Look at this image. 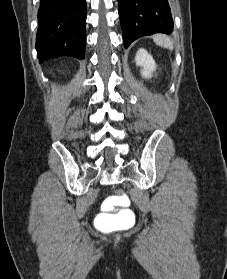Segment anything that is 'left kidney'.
<instances>
[{"mask_svg":"<svg viewBox=\"0 0 227 279\" xmlns=\"http://www.w3.org/2000/svg\"><path fill=\"white\" fill-rule=\"evenodd\" d=\"M135 62L137 66L142 67L141 75L144 78H151L153 72L156 70V63L153 57L148 54V52L140 48L135 57Z\"/></svg>","mask_w":227,"mask_h":279,"instance_id":"obj_1","label":"left kidney"}]
</instances>
